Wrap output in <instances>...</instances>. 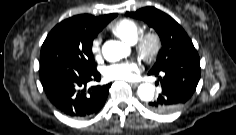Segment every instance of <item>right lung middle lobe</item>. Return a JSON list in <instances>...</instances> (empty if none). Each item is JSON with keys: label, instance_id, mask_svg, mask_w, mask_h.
<instances>
[{"label": "right lung middle lobe", "instance_id": "right-lung-middle-lobe-1", "mask_svg": "<svg viewBox=\"0 0 236 135\" xmlns=\"http://www.w3.org/2000/svg\"><path fill=\"white\" fill-rule=\"evenodd\" d=\"M117 14H114L115 18ZM100 30L78 20L66 19L46 37L40 55V69L74 68L94 70V37Z\"/></svg>", "mask_w": 236, "mask_h": 135}]
</instances>
